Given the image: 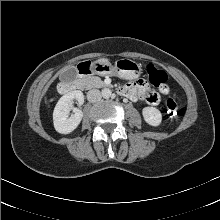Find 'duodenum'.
Listing matches in <instances>:
<instances>
[{
	"mask_svg": "<svg viewBox=\"0 0 220 220\" xmlns=\"http://www.w3.org/2000/svg\"><path fill=\"white\" fill-rule=\"evenodd\" d=\"M92 72V66L89 63H82L78 66V74L79 76H85ZM76 88V83L72 81L62 82L59 86V90L61 93H68L73 91ZM121 94L124 93L121 91Z\"/></svg>",
	"mask_w": 220,
	"mask_h": 220,
	"instance_id": "obj_1",
	"label": "duodenum"
}]
</instances>
